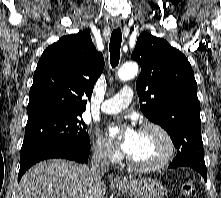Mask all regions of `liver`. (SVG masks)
Wrapping results in <instances>:
<instances>
[{"instance_id": "1", "label": "liver", "mask_w": 221, "mask_h": 198, "mask_svg": "<svg viewBox=\"0 0 221 198\" xmlns=\"http://www.w3.org/2000/svg\"><path fill=\"white\" fill-rule=\"evenodd\" d=\"M106 185L90 168L53 159L30 168L21 178L17 198H104Z\"/></svg>"}]
</instances>
